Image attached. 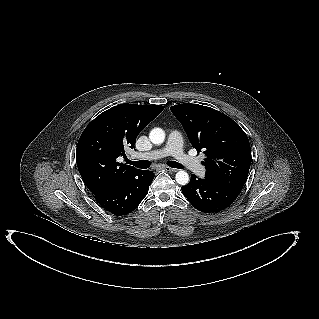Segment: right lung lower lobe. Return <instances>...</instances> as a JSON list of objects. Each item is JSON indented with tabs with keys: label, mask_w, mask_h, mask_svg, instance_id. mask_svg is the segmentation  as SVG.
Instances as JSON below:
<instances>
[{
	"label": "right lung lower lobe",
	"mask_w": 319,
	"mask_h": 319,
	"mask_svg": "<svg viewBox=\"0 0 319 319\" xmlns=\"http://www.w3.org/2000/svg\"><path fill=\"white\" fill-rule=\"evenodd\" d=\"M154 173L136 170L96 193L95 199L110 213L122 216L132 212L148 193Z\"/></svg>",
	"instance_id": "obj_1"
}]
</instances>
